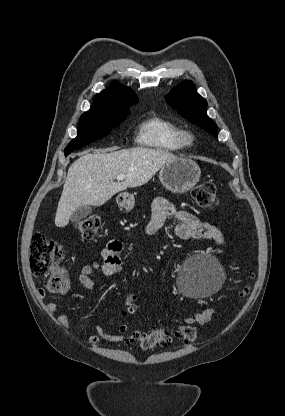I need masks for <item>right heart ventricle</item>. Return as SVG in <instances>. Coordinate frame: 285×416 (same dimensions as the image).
I'll use <instances>...</instances> for the list:
<instances>
[{
  "mask_svg": "<svg viewBox=\"0 0 285 416\" xmlns=\"http://www.w3.org/2000/svg\"><path fill=\"white\" fill-rule=\"evenodd\" d=\"M180 132L181 128L173 120L154 115L140 125L138 142L158 151L175 152L183 148Z\"/></svg>",
  "mask_w": 285,
  "mask_h": 416,
  "instance_id": "right-heart-ventricle-1",
  "label": "right heart ventricle"
}]
</instances>
